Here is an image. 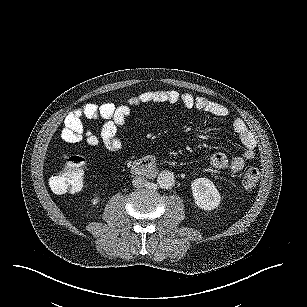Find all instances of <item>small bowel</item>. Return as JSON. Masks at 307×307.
I'll return each instance as SVG.
<instances>
[{"label":"small bowel","instance_id":"obj_1","mask_svg":"<svg viewBox=\"0 0 307 307\" xmlns=\"http://www.w3.org/2000/svg\"><path fill=\"white\" fill-rule=\"evenodd\" d=\"M152 103L181 104L187 109L195 108L219 118L229 115V109L225 105L204 96H194L191 93H180L176 90H153L131 96L125 104L121 105L112 102L84 104L66 116L61 138L67 143H77L82 139L83 117L102 119L104 123L100 131V140L107 149L119 150L122 147V140L118 132L126 123L132 108ZM231 125L244 147L242 155L229 158L224 153L216 152L211 155L210 163L217 170L239 172L247 161L255 157L256 141L241 118H233Z\"/></svg>","mask_w":307,"mask_h":307}]
</instances>
